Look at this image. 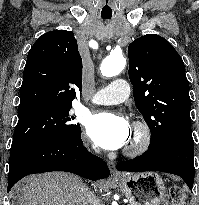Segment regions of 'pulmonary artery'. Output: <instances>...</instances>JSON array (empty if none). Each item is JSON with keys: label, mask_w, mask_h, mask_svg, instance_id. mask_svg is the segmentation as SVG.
Masks as SVG:
<instances>
[{"label": "pulmonary artery", "mask_w": 199, "mask_h": 205, "mask_svg": "<svg viewBox=\"0 0 199 205\" xmlns=\"http://www.w3.org/2000/svg\"><path fill=\"white\" fill-rule=\"evenodd\" d=\"M130 90V84L125 79L119 78L98 92L92 102L103 105L119 104L129 97Z\"/></svg>", "instance_id": "e3ab8cb5"}]
</instances>
